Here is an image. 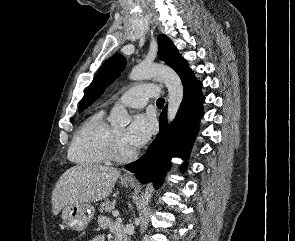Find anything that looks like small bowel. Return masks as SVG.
I'll return each mask as SVG.
<instances>
[{
  "label": "small bowel",
  "instance_id": "obj_1",
  "mask_svg": "<svg viewBox=\"0 0 295 241\" xmlns=\"http://www.w3.org/2000/svg\"><path fill=\"white\" fill-rule=\"evenodd\" d=\"M99 223L103 228H110L111 231L115 234H123V227L118 223H111L110 220L104 216L99 218ZM89 241H105L104 235L97 234L93 236Z\"/></svg>",
  "mask_w": 295,
  "mask_h": 241
}]
</instances>
